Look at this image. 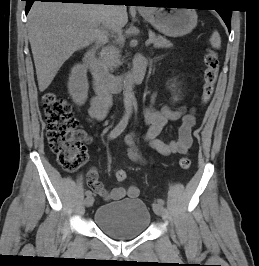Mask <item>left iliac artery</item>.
Instances as JSON below:
<instances>
[{"mask_svg": "<svg viewBox=\"0 0 259 266\" xmlns=\"http://www.w3.org/2000/svg\"><path fill=\"white\" fill-rule=\"evenodd\" d=\"M159 204L163 205L164 204V200L163 199H158L157 201Z\"/></svg>", "mask_w": 259, "mask_h": 266, "instance_id": "obj_1", "label": "left iliac artery"}]
</instances>
